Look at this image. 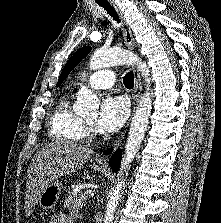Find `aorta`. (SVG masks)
I'll use <instances>...</instances> for the list:
<instances>
[{
    "instance_id": "762f6f07",
    "label": "aorta",
    "mask_w": 221,
    "mask_h": 223,
    "mask_svg": "<svg viewBox=\"0 0 221 223\" xmlns=\"http://www.w3.org/2000/svg\"><path fill=\"white\" fill-rule=\"evenodd\" d=\"M120 64H136L138 70L145 79L147 90L142 96L135 114L132 118L128 138L125 146L124 157L120 169V175L115 189L111 192L110 200L106 206L104 223H109L114 217L115 210L122 197L123 187L130 164L134 160L136 153L144 138L152 109V99L150 93V77L147 65L143 63L135 54L123 49L97 50L90 59L89 67L92 70L102 69ZM100 105L99 99L88 88L83 87L77 93V101L74 104V111L79 114L96 113Z\"/></svg>"
}]
</instances>
